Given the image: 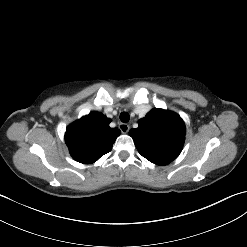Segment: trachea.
<instances>
[{
  "label": "trachea",
  "instance_id": "3493384b",
  "mask_svg": "<svg viewBox=\"0 0 247 247\" xmlns=\"http://www.w3.org/2000/svg\"><path fill=\"white\" fill-rule=\"evenodd\" d=\"M120 120L123 122V123H127L129 120H130V115L127 113V112H122L120 114Z\"/></svg>",
  "mask_w": 247,
  "mask_h": 247
}]
</instances>
